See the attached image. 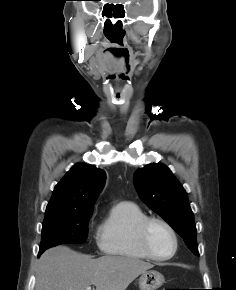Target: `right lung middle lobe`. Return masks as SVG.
<instances>
[{"label":"right lung middle lobe","mask_w":236,"mask_h":290,"mask_svg":"<svg viewBox=\"0 0 236 290\" xmlns=\"http://www.w3.org/2000/svg\"><path fill=\"white\" fill-rule=\"evenodd\" d=\"M92 212L46 213L42 226L39 255L46 249L60 244L85 242Z\"/></svg>","instance_id":"1"}]
</instances>
